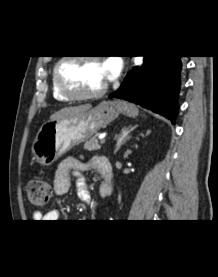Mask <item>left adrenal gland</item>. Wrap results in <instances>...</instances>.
<instances>
[{
	"label": "left adrenal gland",
	"instance_id": "obj_1",
	"mask_svg": "<svg viewBox=\"0 0 218 277\" xmlns=\"http://www.w3.org/2000/svg\"><path fill=\"white\" fill-rule=\"evenodd\" d=\"M138 125L125 127L122 129L121 133L119 135L115 136L116 146L114 153L118 152V150L121 148L122 145L126 144V142L131 138V132L136 129ZM150 133V130L147 131V134Z\"/></svg>",
	"mask_w": 218,
	"mask_h": 277
}]
</instances>
